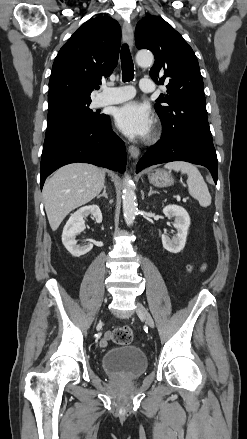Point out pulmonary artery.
I'll return each mask as SVG.
<instances>
[{"instance_id":"obj_1","label":"pulmonary artery","mask_w":247,"mask_h":439,"mask_svg":"<svg viewBox=\"0 0 247 439\" xmlns=\"http://www.w3.org/2000/svg\"><path fill=\"white\" fill-rule=\"evenodd\" d=\"M140 88L145 93H151L155 89L154 82L149 78L140 81ZM135 91L130 86L114 87L106 89V92L98 99V105L118 104L131 99Z\"/></svg>"}]
</instances>
